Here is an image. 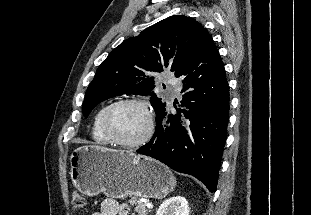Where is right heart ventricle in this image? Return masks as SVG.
Returning a JSON list of instances; mask_svg holds the SVG:
<instances>
[{
	"label": "right heart ventricle",
	"mask_w": 311,
	"mask_h": 215,
	"mask_svg": "<svg viewBox=\"0 0 311 215\" xmlns=\"http://www.w3.org/2000/svg\"><path fill=\"white\" fill-rule=\"evenodd\" d=\"M109 105L110 104H105L98 109V111L96 112L94 116L93 124H92V138L96 143L102 144V145L111 143L110 140L103 133L102 127H101V120H102L103 113Z\"/></svg>",
	"instance_id": "e07e8e85"
}]
</instances>
